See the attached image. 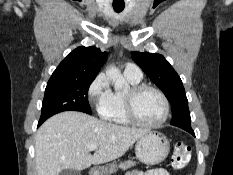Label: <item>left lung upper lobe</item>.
Returning a JSON list of instances; mask_svg holds the SVG:
<instances>
[{"label":"left lung upper lobe","mask_w":233,"mask_h":175,"mask_svg":"<svg viewBox=\"0 0 233 175\" xmlns=\"http://www.w3.org/2000/svg\"><path fill=\"white\" fill-rule=\"evenodd\" d=\"M131 56L169 100L173 114L171 125L186 131L192 129L185 89L170 63L160 54L132 52Z\"/></svg>","instance_id":"left-lung-upper-lobe-1"}]
</instances>
